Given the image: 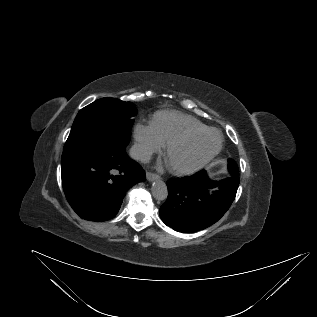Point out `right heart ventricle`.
<instances>
[{
	"instance_id": "obj_1",
	"label": "right heart ventricle",
	"mask_w": 317,
	"mask_h": 317,
	"mask_svg": "<svg viewBox=\"0 0 317 317\" xmlns=\"http://www.w3.org/2000/svg\"><path fill=\"white\" fill-rule=\"evenodd\" d=\"M150 126L162 147L187 131L207 127L192 116L171 110L156 112L150 120Z\"/></svg>"
}]
</instances>
